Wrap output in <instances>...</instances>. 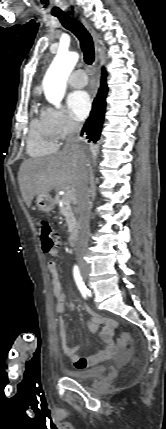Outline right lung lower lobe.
<instances>
[{"label": "right lung lower lobe", "mask_w": 166, "mask_h": 429, "mask_svg": "<svg viewBox=\"0 0 166 429\" xmlns=\"http://www.w3.org/2000/svg\"><path fill=\"white\" fill-rule=\"evenodd\" d=\"M101 85L97 97L93 101L92 111L87 121L85 122L81 135L88 139V142H96L100 138L101 128L104 121V114L106 108L107 84H106V71L102 69Z\"/></svg>", "instance_id": "right-lung-lower-lobe-1"}]
</instances>
